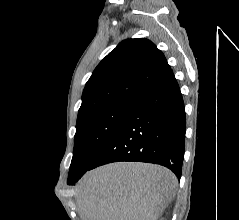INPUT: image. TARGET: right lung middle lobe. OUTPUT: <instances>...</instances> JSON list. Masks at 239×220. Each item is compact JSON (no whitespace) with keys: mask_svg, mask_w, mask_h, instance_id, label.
<instances>
[{"mask_svg":"<svg viewBox=\"0 0 239 220\" xmlns=\"http://www.w3.org/2000/svg\"><path fill=\"white\" fill-rule=\"evenodd\" d=\"M131 104L113 106L77 120L68 183L79 179L116 132Z\"/></svg>","mask_w":239,"mask_h":220,"instance_id":"1","label":"right lung middle lobe"}]
</instances>
